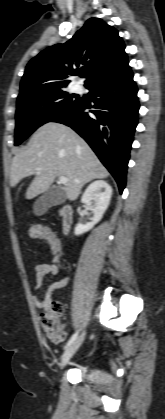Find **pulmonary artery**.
Wrapping results in <instances>:
<instances>
[{"mask_svg":"<svg viewBox=\"0 0 165 419\" xmlns=\"http://www.w3.org/2000/svg\"><path fill=\"white\" fill-rule=\"evenodd\" d=\"M80 86L79 85H77V86H75V88H74V90L76 91V92H79L80 91Z\"/></svg>","mask_w":165,"mask_h":419,"instance_id":"1","label":"pulmonary artery"}]
</instances>
